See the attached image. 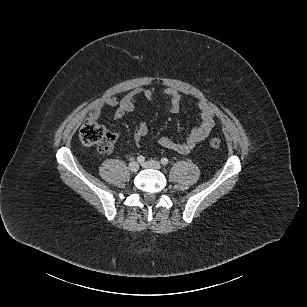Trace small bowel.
<instances>
[{
	"label": "small bowel",
	"instance_id": "c3829d8e",
	"mask_svg": "<svg viewBox=\"0 0 307 307\" xmlns=\"http://www.w3.org/2000/svg\"><path fill=\"white\" fill-rule=\"evenodd\" d=\"M164 94L169 99V111L177 113L180 110L183 96L171 88L165 89ZM139 96H143L150 101L153 99V92L149 89L136 88L120 99L114 96L107 97L96 104L90 113V118H98L102 109L105 107L115 108V118H122L133 112L136 100ZM196 106L199 110L201 121L191 130L186 140L183 142H176L163 136L158 139V144L162 148L180 154H187L193 150L198 143L208 137L215 126L213 110L204 102H198ZM148 134L149 129L146 123L142 120L136 121L133 133L135 143L139 146Z\"/></svg>",
	"mask_w": 307,
	"mask_h": 307
}]
</instances>
